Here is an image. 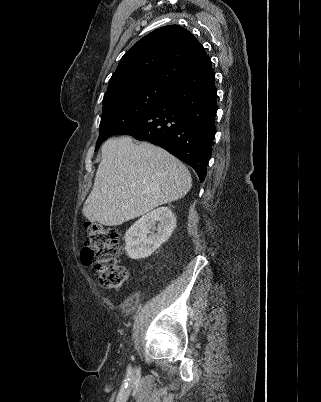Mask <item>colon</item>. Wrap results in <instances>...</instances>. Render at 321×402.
<instances>
[{"label": "colon", "mask_w": 321, "mask_h": 402, "mask_svg": "<svg viewBox=\"0 0 321 402\" xmlns=\"http://www.w3.org/2000/svg\"><path fill=\"white\" fill-rule=\"evenodd\" d=\"M88 239L81 250V260L94 265L100 285L107 290H118L127 278V269L117 261L122 244L115 229L90 222Z\"/></svg>", "instance_id": "colon-1"}]
</instances>
